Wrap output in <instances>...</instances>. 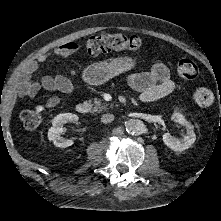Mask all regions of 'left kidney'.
I'll use <instances>...</instances> for the list:
<instances>
[{
  "mask_svg": "<svg viewBox=\"0 0 221 221\" xmlns=\"http://www.w3.org/2000/svg\"><path fill=\"white\" fill-rule=\"evenodd\" d=\"M172 119L174 122L186 128V135L182 138H176L171 136L170 133H164L163 141L164 143L174 151H183L188 149L196 140V135L194 133V127L185 119V117L174 112L172 114Z\"/></svg>",
  "mask_w": 221,
  "mask_h": 221,
  "instance_id": "left-kidney-1",
  "label": "left kidney"
}]
</instances>
